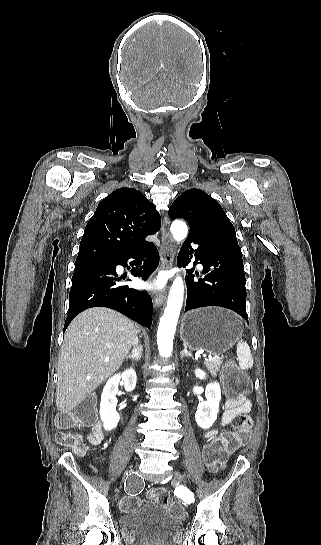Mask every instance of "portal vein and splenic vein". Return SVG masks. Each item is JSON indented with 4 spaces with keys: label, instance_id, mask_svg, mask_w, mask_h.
<instances>
[{
    "label": "portal vein and splenic vein",
    "instance_id": "portal-vein-and-splenic-vein-1",
    "mask_svg": "<svg viewBox=\"0 0 321 545\" xmlns=\"http://www.w3.org/2000/svg\"><path fill=\"white\" fill-rule=\"evenodd\" d=\"M207 353H202L201 355V358H207ZM104 361H110V359H104ZM208 361H211L210 359H208Z\"/></svg>",
    "mask_w": 321,
    "mask_h": 545
}]
</instances>
